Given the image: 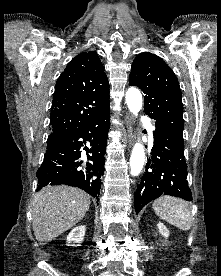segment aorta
I'll use <instances>...</instances> for the list:
<instances>
[{
	"mask_svg": "<svg viewBox=\"0 0 221 276\" xmlns=\"http://www.w3.org/2000/svg\"><path fill=\"white\" fill-rule=\"evenodd\" d=\"M126 103L129 110L137 116L142 108V95L136 88H129L126 92ZM145 162V149L144 146L137 142L135 143L131 157H130V170L132 176H137L142 171Z\"/></svg>",
	"mask_w": 221,
	"mask_h": 276,
	"instance_id": "obj_1",
	"label": "aorta"
}]
</instances>
